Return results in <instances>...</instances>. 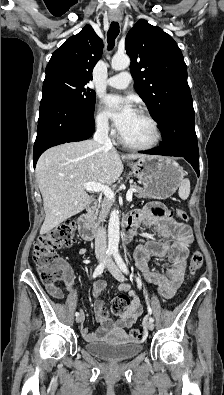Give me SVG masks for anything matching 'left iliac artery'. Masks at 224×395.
Returning <instances> with one entry per match:
<instances>
[{
  "instance_id": "44dca946",
  "label": "left iliac artery",
  "mask_w": 224,
  "mask_h": 395,
  "mask_svg": "<svg viewBox=\"0 0 224 395\" xmlns=\"http://www.w3.org/2000/svg\"><path fill=\"white\" fill-rule=\"evenodd\" d=\"M113 256H114V259H115L118 267L121 269V271H123L124 273L128 274L129 273L128 268H127L125 262L123 261L119 251L115 250L113 252ZM136 280H137V283H138V288L140 289L141 288V281H140V279L138 277L136 278ZM148 313L150 315L149 320H151L153 322L154 319H153V317H151L152 310H151V308L149 306H148Z\"/></svg>"
}]
</instances>
